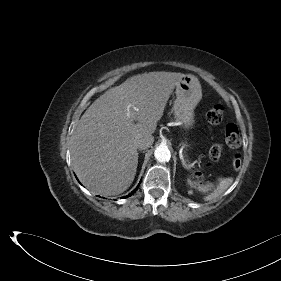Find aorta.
<instances>
[{
	"label": "aorta",
	"instance_id": "obj_1",
	"mask_svg": "<svg viewBox=\"0 0 281 281\" xmlns=\"http://www.w3.org/2000/svg\"><path fill=\"white\" fill-rule=\"evenodd\" d=\"M154 156L159 162H165L170 159V151L166 146L160 145L155 149Z\"/></svg>",
	"mask_w": 281,
	"mask_h": 281
}]
</instances>
